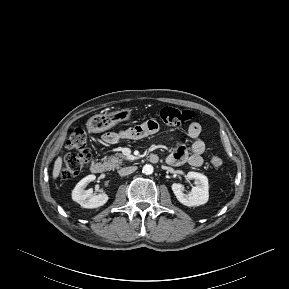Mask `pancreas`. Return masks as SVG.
I'll use <instances>...</instances> for the list:
<instances>
[{"instance_id": "cf45deb5", "label": "pancreas", "mask_w": 289, "mask_h": 289, "mask_svg": "<svg viewBox=\"0 0 289 289\" xmlns=\"http://www.w3.org/2000/svg\"><path fill=\"white\" fill-rule=\"evenodd\" d=\"M125 159L126 157L123 154L116 153L114 156L104 158V164L108 167V169L114 170L118 169Z\"/></svg>"}]
</instances>
